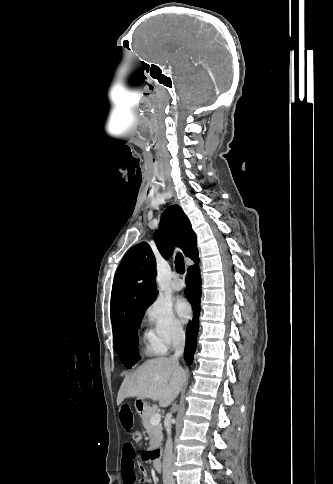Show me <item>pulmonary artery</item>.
I'll return each mask as SVG.
<instances>
[{"mask_svg":"<svg viewBox=\"0 0 333 484\" xmlns=\"http://www.w3.org/2000/svg\"><path fill=\"white\" fill-rule=\"evenodd\" d=\"M171 287L175 291H179V290L183 289V287H184V281L176 273L173 275V279H172V282H171Z\"/></svg>","mask_w":333,"mask_h":484,"instance_id":"obj_1","label":"pulmonary artery"}]
</instances>
